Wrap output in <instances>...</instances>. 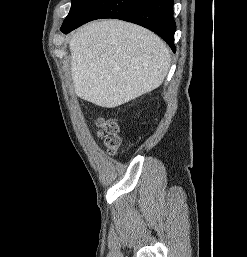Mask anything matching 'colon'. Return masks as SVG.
I'll return each mask as SVG.
<instances>
[{
	"mask_svg": "<svg viewBox=\"0 0 247 257\" xmlns=\"http://www.w3.org/2000/svg\"><path fill=\"white\" fill-rule=\"evenodd\" d=\"M98 135L111 154L120 150L119 123L114 118H100L97 121Z\"/></svg>",
	"mask_w": 247,
	"mask_h": 257,
	"instance_id": "obj_1",
	"label": "colon"
}]
</instances>
